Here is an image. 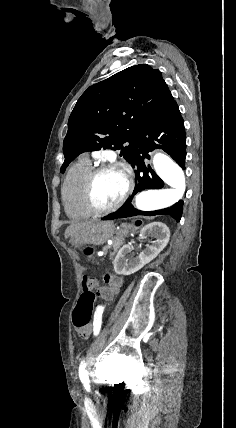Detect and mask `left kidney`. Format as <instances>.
<instances>
[{
	"label": "left kidney",
	"mask_w": 236,
	"mask_h": 428,
	"mask_svg": "<svg viewBox=\"0 0 236 428\" xmlns=\"http://www.w3.org/2000/svg\"><path fill=\"white\" fill-rule=\"evenodd\" d=\"M140 238H142V240H144V238H155V242H149V244H146L145 250H141L140 254H138L136 258H134V256H128V258H125L127 254H130L133 248L132 246H128V244H126V246H122L113 262L116 274L130 276V274L138 272V270H141L145 264H149L151 260L157 258L158 254L166 248L169 242V228H167L166 224H162V222L147 224V226L142 228Z\"/></svg>",
	"instance_id": "1"
}]
</instances>
